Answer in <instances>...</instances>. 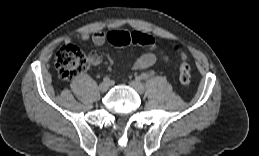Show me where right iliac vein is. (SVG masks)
Here are the masks:
<instances>
[{"label": "right iliac vein", "mask_w": 259, "mask_h": 156, "mask_svg": "<svg viewBox=\"0 0 259 156\" xmlns=\"http://www.w3.org/2000/svg\"><path fill=\"white\" fill-rule=\"evenodd\" d=\"M109 86H110V83H109V82H102V83L99 85V90H100V92H102V93L106 92V91L109 89Z\"/></svg>", "instance_id": "1"}]
</instances>
